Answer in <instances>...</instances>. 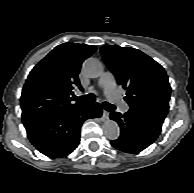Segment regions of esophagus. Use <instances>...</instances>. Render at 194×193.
Instances as JSON below:
<instances>
[{
  "label": "esophagus",
  "mask_w": 194,
  "mask_h": 193,
  "mask_svg": "<svg viewBox=\"0 0 194 193\" xmlns=\"http://www.w3.org/2000/svg\"><path fill=\"white\" fill-rule=\"evenodd\" d=\"M108 117H109V112H107V111H103V118L104 119H108Z\"/></svg>",
  "instance_id": "obj_1"
}]
</instances>
